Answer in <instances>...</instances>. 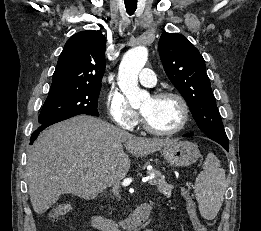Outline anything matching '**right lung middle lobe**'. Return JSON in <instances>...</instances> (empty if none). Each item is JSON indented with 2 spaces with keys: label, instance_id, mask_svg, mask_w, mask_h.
<instances>
[{
  "label": "right lung middle lobe",
  "instance_id": "right-lung-middle-lobe-1",
  "mask_svg": "<svg viewBox=\"0 0 261 231\" xmlns=\"http://www.w3.org/2000/svg\"><path fill=\"white\" fill-rule=\"evenodd\" d=\"M101 87L50 89L38 121L41 125L79 114L99 116L97 105Z\"/></svg>",
  "mask_w": 261,
  "mask_h": 231
}]
</instances>
